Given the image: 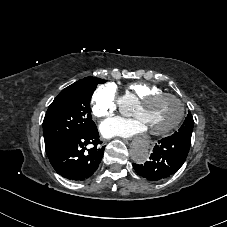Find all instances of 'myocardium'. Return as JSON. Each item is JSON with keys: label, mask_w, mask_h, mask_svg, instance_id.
I'll return each mask as SVG.
<instances>
[{"label": "myocardium", "mask_w": 227, "mask_h": 227, "mask_svg": "<svg viewBox=\"0 0 227 227\" xmlns=\"http://www.w3.org/2000/svg\"><path fill=\"white\" fill-rule=\"evenodd\" d=\"M164 96H169V97H172L173 99H175L179 105L180 112H179V115L176 118V120L167 129L162 130V131H148L149 134L153 135V136L160 137V136H164V135L172 132L173 130H175L176 128L179 127V125L182 123V121L184 120L185 115H186V106H185L184 101L182 100V98L179 95L172 93V92L161 91V92L145 95L139 99V104L146 105V104L152 103V102L156 101L157 99L164 97Z\"/></svg>", "instance_id": "obj_1"}]
</instances>
